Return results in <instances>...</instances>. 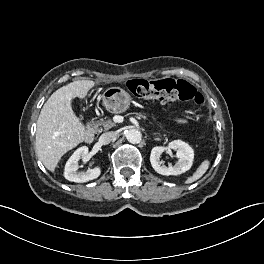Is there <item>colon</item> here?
Wrapping results in <instances>:
<instances>
[{
    "label": "colon",
    "mask_w": 264,
    "mask_h": 264,
    "mask_svg": "<svg viewBox=\"0 0 264 264\" xmlns=\"http://www.w3.org/2000/svg\"><path fill=\"white\" fill-rule=\"evenodd\" d=\"M128 89L137 97L146 100H158L161 103L173 101H193L203 103V96L187 81L164 79L158 81L130 80Z\"/></svg>",
    "instance_id": "5ec220e1"
}]
</instances>
